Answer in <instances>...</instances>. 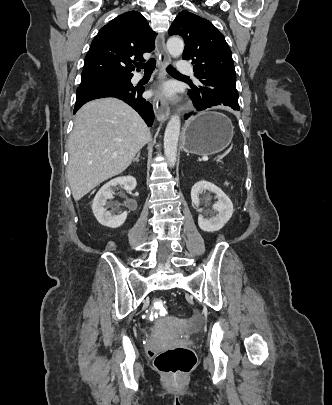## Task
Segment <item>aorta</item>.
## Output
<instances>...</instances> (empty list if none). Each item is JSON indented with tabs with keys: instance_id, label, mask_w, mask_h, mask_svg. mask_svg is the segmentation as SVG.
Masks as SVG:
<instances>
[{
	"instance_id": "aorta-1",
	"label": "aorta",
	"mask_w": 332,
	"mask_h": 405,
	"mask_svg": "<svg viewBox=\"0 0 332 405\" xmlns=\"http://www.w3.org/2000/svg\"><path fill=\"white\" fill-rule=\"evenodd\" d=\"M167 49L172 57H179L183 53L184 42L179 37H171L167 41ZM180 126V117L173 115L164 134V155L170 167H174L176 163Z\"/></svg>"
}]
</instances>
